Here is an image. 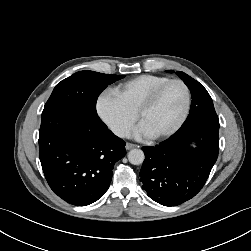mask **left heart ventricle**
<instances>
[{
    "mask_svg": "<svg viewBox=\"0 0 251 251\" xmlns=\"http://www.w3.org/2000/svg\"><path fill=\"white\" fill-rule=\"evenodd\" d=\"M184 104L183 87L180 84H171L163 91L155 105L142 115L140 123L151 136L161 134L176 123Z\"/></svg>",
    "mask_w": 251,
    "mask_h": 251,
    "instance_id": "b2bd125f",
    "label": "left heart ventricle"
}]
</instances>
